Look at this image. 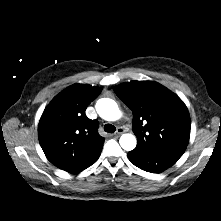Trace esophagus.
<instances>
[{
	"label": "esophagus",
	"instance_id": "34e87169",
	"mask_svg": "<svg viewBox=\"0 0 221 221\" xmlns=\"http://www.w3.org/2000/svg\"><path fill=\"white\" fill-rule=\"evenodd\" d=\"M125 132V129L123 127L117 128V131L115 132V135H121Z\"/></svg>",
	"mask_w": 221,
	"mask_h": 221
}]
</instances>
